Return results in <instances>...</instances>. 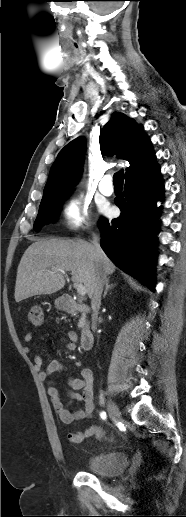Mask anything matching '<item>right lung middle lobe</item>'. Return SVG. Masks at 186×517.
<instances>
[{
  "mask_svg": "<svg viewBox=\"0 0 186 517\" xmlns=\"http://www.w3.org/2000/svg\"><path fill=\"white\" fill-rule=\"evenodd\" d=\"M69 193L56 195L47 199H42L39 213L34 223V230L39 231L42 225L51 223L59 213V206Z\"/></svg>",
  "mask_w": 186,
  "mask_h": 517,
  "instance_id": "obj_1",
  "label": "right lung middle lobe"
}]
</instances>
